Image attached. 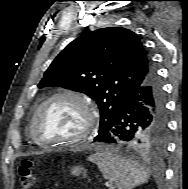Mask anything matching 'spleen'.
Wrapping results in <instances>:
<instances>
[{
	"instance_id": "obj_1",
	"label": "spleen",
	"mask_w": 188,
	"mask_h": 189,
	"mask_svg": "<svg viewBox=\"0 0 188 189\" xmlns=\"http://www.w3.org/2000/svg\"><path fill=\"white\" fill-rule=\"evenodd\" d=\"M88 160L95 163L104 178L114 182L118 189H132L149 179V174L143 167L109 151L97 152Z\"/></svg>"
}]
</instances>
